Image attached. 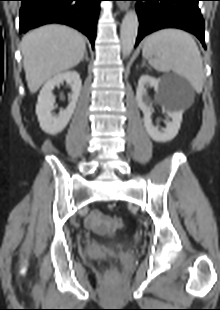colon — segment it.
Here are the masks:
<instances>
[{
	"label": "colon",
	"mask_w": 220,
	"mask_h": 310,
	"mask_svg": "<svg viewBox=\"0 0 220 310\" xmlns=\"http://www.w3.org/2000/svg\"><path fill=\"white\" fill-rule=\"evenodd\" d=\"M123 226V220L120 217H114L112 219L109 218L107 222V228H108V236L112 237L114 236L115 232L119 229H121Z\"/></svg>",
	"instance_id": "colon-1"
}]
</instances>
